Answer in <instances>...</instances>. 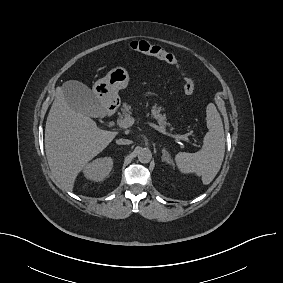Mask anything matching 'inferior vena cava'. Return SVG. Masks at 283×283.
<instances>
[{"instance_id": "obj_1", "label": "inferior vena cava", "mask_w": 283, "mask_h": 283, "mask_svg": "<svg viewBox=\"0 0 283 283\" xmlns=\"http://www.w3.org/2000/svg\"><path fill=\"white\" fill-rule=\"evenodd\" d=\"M116 143L119 145H129L132 143V141L128 139H117Z\"/></svg>"}]
</instances>
